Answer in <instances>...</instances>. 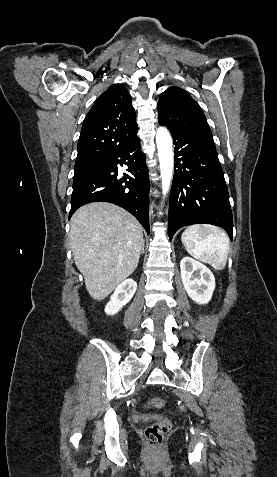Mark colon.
Returning <instances> with one entry per match:
<instances>
[{"label":"colon","mask_w":277,"mask_h":477,"mask_svg":"<svg viewBox=\"0 0 277 477\" xmlns=\"http://www.w3.org/2000/svg\"><path fill=\"white\" fill-rule=\"evenodd\" d=\"M165 404V401L161 398H153L149 401L148 405L152 408H161ZM170 421L162 420L151 424L145 430V438L152 449H158L164 440L165 435L170 429Z\"/></svg>","instance_id":"obj_1"}]
</instances>
